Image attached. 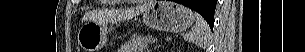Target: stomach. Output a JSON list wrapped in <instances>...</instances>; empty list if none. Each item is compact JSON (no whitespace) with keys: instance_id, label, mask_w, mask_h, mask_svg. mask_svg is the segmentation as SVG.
<instances>
[{"instance_id":"1","label":"stomach","mask_w":305,"mask_h":52,"mask_svg":"<svg viewBox=\"0 0 305 52\" xmlns=\"http://www.w3.org/2000/svg\"><path fill=\"white\" fill-rule=\"evenodd\" d=\"M142 15L148 27L171 33L185 31L194 22L193 12L189 8L166 0H155ZM114 30L113 24L87 22L78 31V44L84 52H99L106 46Z\"/></svg>"}]
</instances>
